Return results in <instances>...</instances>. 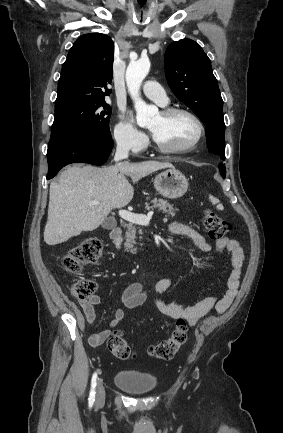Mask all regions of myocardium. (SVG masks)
Returning <instances> with one entry per match:
<instances>
[{
    "instance_id": "myocardium-1",
    "label": "myocardium",
    "mask_w": 283,
    "mask_h": 433,
    "mask_svg": "<svg viewBox=\"0 0 283 433\" xmlns=\"http://www.w3.org/2000/svg\"><path fill=\"white\" fill-rule=\"evenodd\" d=\"M160 114L164 119H170L175 115L178 114H186L190 116L197 125V135L196 137L186 146L182 148H170L166 147L165 144L159 142L157 140V151L167 157L172 156H180L185 155L191 151H193L202 141V139L205 136L206 128L203 120L200 118V116L192 111L189 108L186 107H167L161 110Z\"/></svg>"
}]
</instances>
